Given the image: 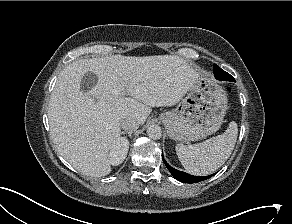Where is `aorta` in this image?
Returning a JSON list of instances; mask_svg holds the SVG:
<instances>
[{"label": "aorta", "mask_w": 292, "mask_h": 224, "mask_svg": "<svg viewBox=\"0 0 292 224\" xmlns=\"http://www.w3.org/2000/svg\"><path fill=\"white\" fill-rule=\"evenodd\" d=\"M147 135L152 139H160L162 136L161 127L156 124H151L147 127Z\"/></svg>", "instance_id": "obj_1"}]
</instances>
